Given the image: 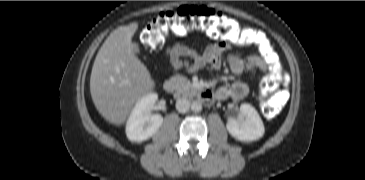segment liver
Instances as JSON below:
<instances>
[{
	"mask_svg": "<svg viewBox=\"0 0 365 180\" xmlns=\"http://www.w3.org/2000/svg\"><path fill=\"white\" fill-rule=\"evenodd\" d=\"M137 29L138 23L134 22L112 31L92 67L93 103L102 117L116 126L124 124L133 105L155 87L147 67L131 48Z\"/></svg>",
	"mask_w": 365,
	"mask_h": 180,
	"instance_id": "obj_1",
	"label": "liver"
}]
</instances>
